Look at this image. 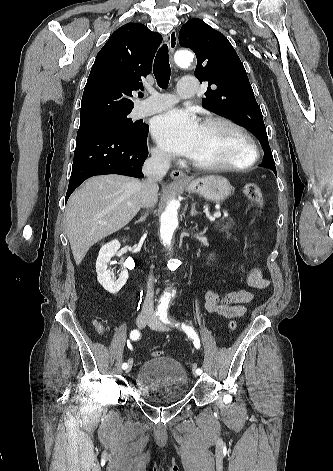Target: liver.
Instances as JSON below:
<instances>
[{
    "mask_svg": "<svg viewBox=\"0 0 333 471\" xmlns=\"http://www.w3.org/2000/svg\"><path fill=\"white\" fill-rule=\"evenodd\" d=\"M141 182L122 175L88 179L67 203L66 233L77 265L98 241L126 226L141 207Z\"/></svg>",
    "mask_w": 333,
    "mask_h": 471,
    "instance_id": "6515ba94",
    "label": "liver"
}]
</instances>
